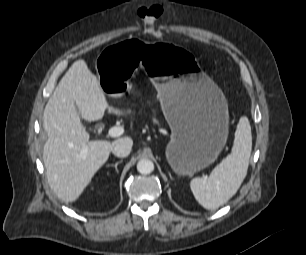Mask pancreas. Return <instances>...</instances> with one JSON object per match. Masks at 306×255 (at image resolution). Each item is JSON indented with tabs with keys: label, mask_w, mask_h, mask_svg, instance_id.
<instances>
[{
	"label": "pancreas",
	"mask_w": 306,
	"mask_h": 255,
	"mask_svg": "<svg viewBox=\"0 0 306 255\" xmlns=\"http://www.w3.org/2000/svg\"><path fill=\"white\" fill-rule=\"evenodd\" d=\"M154 122H155V123H158V121H157L156 119H154Z\"/></svg>",
	"instance_id": "pancreas-1"
}]
</instances>
